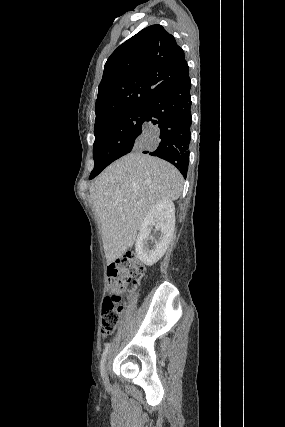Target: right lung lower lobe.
<instances>
[{"label":"right lung lower lobe","mask_w":285,"mask_h":427,"mask_svg":"<svg viewBox=\"0 0 285 427\" xmlns=\"http://www.w3.org/2000/svg\"><path fill=\"white\" fill-rule=\"evenodd\" d=\"M189 75L147 104L141 143L143 153L172 163L186 178L191 141ZM97 176V175H96Z\"/></svg>","instance_id":"1"}]
</instances>
